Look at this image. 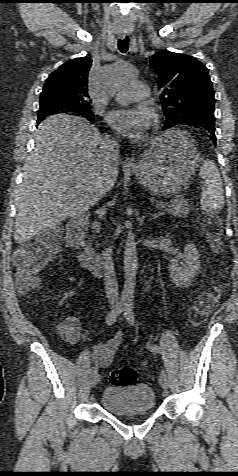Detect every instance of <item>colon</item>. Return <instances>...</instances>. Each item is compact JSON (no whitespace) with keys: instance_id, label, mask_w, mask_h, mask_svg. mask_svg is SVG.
I'll return each mask as SVG.
<instances>
[{"instance_id":"colon-1","label":"colon","mask_w":238,"mask_h":476,"mask_svg":"<svg viewBox=\"0 0 238 476\" xmlns=\"http://www.w3.org/2000/svg\"><path fill=\"white\" fill-rule=\"evenodd\" d=\"M205 236L215 251L221 248L222 222L215 215L205 214L201 218ZM61 231L50 229L34 242L20 245L13 255L17 289L28 293L39 285V272L53 259L59 250ZM225 288L224 278L219 276L213 285L204 291L188 312V319L194 326L202 324L210 311L218 304ZM137 371L132 367H120L110 372L109 381L114 385H129L136 381Z\"/></svg>"}]
</instances>
